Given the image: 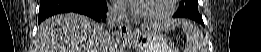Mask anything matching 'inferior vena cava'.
Wrapping results in <instances>:
<instances>
[{
	"label": "inferior vena cava",
	"mask_w": 261,
	"mask_h": 52,
	"mask_svg": "<svg viewBox=\"0 0 261 52\" xmlns=\"http://www.w3.org/2000/svg\"><path fill=\"white\" fill-rule=\"evenodd\" d=\"M125 17H126V9L123 5L114 4L108 7V17H107L108 28L106 30V40L110 42L109 43L110 49H112L113 47L115 48L117 46V43L111 37V31L115 27H119L122 24ZM105 51L108 52V50ZM109 51H113V50H109Z\"/></svg>",
	"instance_id": "inferior-vena-cava-1"
}]
</instances>
